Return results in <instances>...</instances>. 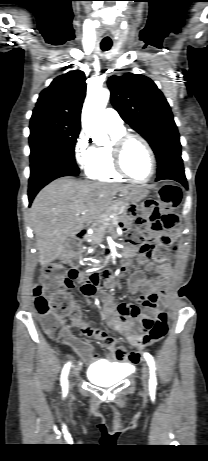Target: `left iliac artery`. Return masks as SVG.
Instances as JSON below:
<instances>
[{
    "label": "left iliac artery",
    "instance_id": "left-iliac-artery-1",
    "mask_svg": "<svg viewBox=\"0 0 208 461\" xmlns=\"http://www.w3.org/2000/svg\"><path fill=\"white\" fill-rule=\"evenodd\" d=\"M144 357L150 366V385H156L155 364L153 357L149 353H144Z\"/></svg>",
    "mask_w": 208,
    "mask_h": 461
}]
</instances>
